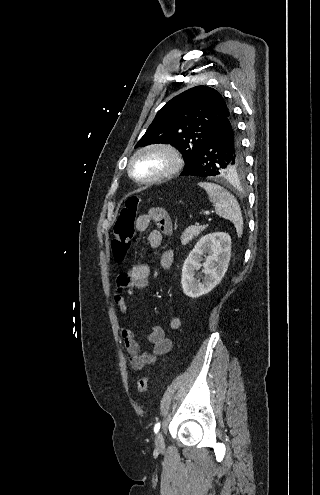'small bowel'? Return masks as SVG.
Returning a JSON list of instances; mask_svg holds the SVG:
<instances>
[{
  "instance_id": "obj_1",
  "label": "small bowel",
  "mask_w": 320,
  "mask_h": 495,
  "mask_svg": "<svg viewBox=\"0 0 320 495\" xmlns=\"http://www.w3.org/2000/svg\"><path fill=\"white\" fill-rule=\"evenodd\" d=\"M152 224L158 226L148 235V242L152 250L160 247L163 235L172 233V224L167 212L161 208H152L147 213L142 214L136 221L137 230L146 231ZM161 267L169 271L173 265V253L165 251L161 255ZM150 266L147 263H136L127 272L117 276L115 281L116 291L114 301L119 306L120 312L126 314L128 306L125 294L132 295L135 291L146 289L150 284ZM183 321L180 316L173 317L169 322L172 330L182 327ZM121 336L126 348L130 365L135 370H141L146 366L156 363L158 357L166 355L172 349V341L165 334L162 327L155 325L147 336L148 342L152 345L150 352H142L137 336L132 328L125 326L121 330Z\"/></svg>"
}]
</instances>
